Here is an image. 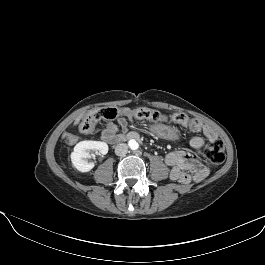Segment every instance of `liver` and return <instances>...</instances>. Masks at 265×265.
<instances>
[{"instance_id":"obj_1","label":"liver","mask_w":265,"mask_h":265,"mask_svg":"<svg viewBox=\"0 0 265 265\" xmlns=\"http://www.w3.org/2000/svg\"><path fill=\"white\" fill-rule=\"evenodd\" d=\"M85 116V113H81L74 121V125H78L80 120L83 119Z\"/></svg>"}]
</instances>
